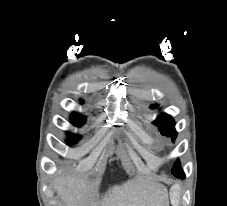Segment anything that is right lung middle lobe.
<instances>
[{
    "label": "right lung middle lobe",
    "mask_w": 227,
    "mask_h": 206,
    "mask_svg": "<svg viewBox=\"0 0 227 206\" xmlns=\"http://www.w3.org/2000/svg\"><path fill=\"white\" fill-rule=\"evenodd\" d=\"M86 119L85 117L79 115V114H72V123L75 124L76 126H81L85 123ZM79 137L76 136L74 139H78Z\"/></svg>",
    "instance_id": "obj_1"
}]
</instances>
